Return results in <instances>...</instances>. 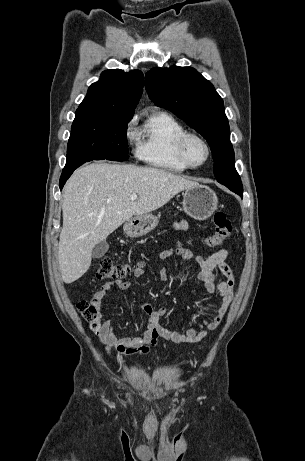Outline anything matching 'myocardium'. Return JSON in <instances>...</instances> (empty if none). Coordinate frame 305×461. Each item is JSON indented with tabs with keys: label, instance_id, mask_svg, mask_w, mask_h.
I'll list each match as a JSON object with an SVG mask.
<instances>
[{
	"label": "myocardium",
	"instance_id": "f54148a6",
	"mask_svg": "<svg viewBox=\"0 0 305 461\" xmlns=\"http://www.w3.org/2000/svg\"><path fill=\"white\" fill-rule=\"evenodd\" d=\"M191 139H196L198 141H200L205 149H206V157L204 159L203 162L199 163V164H194L190 161L188 155H187V151H186V148H187V144H188V141L191 140ZM177 153H178V156L179 158L182 160V162L189 168H199V167H202L203 165H205L210 157H211V147L209 145V143L207 142V140L197 134V133H194V132H188L186 131L184 134H182V136L179 138L178 140V143H177Z\"/></svg>",
	"mask_w": 305,
	"mask_h": 461
}]
</instances>
